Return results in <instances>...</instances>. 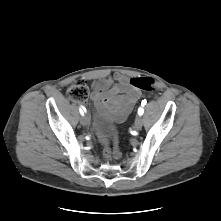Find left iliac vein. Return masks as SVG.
<instances>
[{"label":"left iliac vein","instance_id":"obj_1","mask_svg":"<svg viewBox=\"0 0 221 221\" xmlns=\"http://www.w3.org/2000/svg\"><path fill=\"white\" fill-rule=\"evenodd\" d=\"M143 125V120L141 116H137L134 122V128L135 130H140Z\"/></svg>","mask_w":221,"mask_h":221}]
</instances>
